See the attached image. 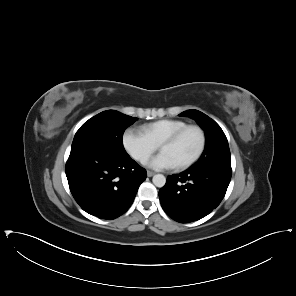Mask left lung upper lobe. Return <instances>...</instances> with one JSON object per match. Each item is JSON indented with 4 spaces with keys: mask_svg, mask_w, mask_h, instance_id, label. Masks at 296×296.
Returning <instances> with one entry per match:
<instances>
[{
    "mask_svg": "<svg viewBox=\"0 0 296 296\" xmlns=\"http://www.w3.org/2000/svg\"><path fill=\"white\" fill-rule=\"evenodd\" d=\"M179 116H189L197 121L205 131L206 145L195 167H231V155L227 138L221 127L210 117L198 110H187Z\"/></svg>",
    "mask_w": 296,
    "mask_h": 296,
    "instance_id": "5c2ea615",
    "label": "left lung upper lobe"
}]
</instances>
